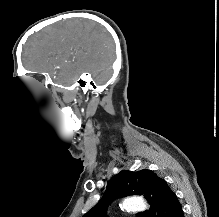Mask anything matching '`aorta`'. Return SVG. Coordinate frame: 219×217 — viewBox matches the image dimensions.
Returning <instances> with one entry per match:
<instances>
[{
    "mask_svg": "<svg viewBox=\"0 0 219 217\" xmlns=\"http://www.w3.org/2000/svg\"><path fill=\"white\" fill-rule=\"evenodd\" d=\"M122 209L127 211H142L147 208V203L142 197L133 196L127 197L123 200L122 204L120 205Z\"/></svg>",
    "mask_w": 219,
    "mask_h": 217,
    "instance_id": "aorta-1",
    "label": "aorta"
}]
</instances>
